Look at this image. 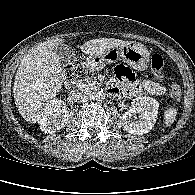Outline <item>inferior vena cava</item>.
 Wrapping results in <instances>:
<instances>
[{"label": "inferior vena cava", "instance_id": "inferior-vena-cava-1", "mask_svg": "<svg viewBox=\"0 0 195 195\" xmlns=\"http://www.w3.org/2000/svg\"><path fill=\"white\" fill-rule=\"evenodd\" d=\"M93 97L92 92L87 89H83L76 93L75 98L79 103H85Z\"/></svg>", "mask_w": 195, "mask_h": 195}]
</instances>
